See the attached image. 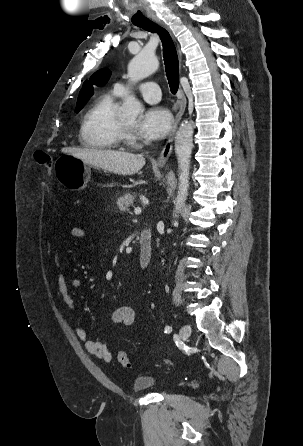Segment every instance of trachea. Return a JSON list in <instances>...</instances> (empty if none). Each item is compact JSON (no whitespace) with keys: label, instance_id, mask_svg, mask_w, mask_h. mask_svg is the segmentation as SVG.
<instances>
[{"label":"trachea","instance_id":"trachea-1","mask_svg":"<svg viewBox=\"0 0 303 446\" xmlns=\"http://www.w3.org/2000/svg\"><path fill=\"white\" fill-rule=\"evenodd\" d=\"M136 26L143 28L146 31L152 33L157 32L159 34L163 44V57L169 87L171 92L176 94L179 88V62L176 48L170 34L150 20L137 23Z\"/></svg>","mask_w":303,"mask_h":446}]
</instances>
